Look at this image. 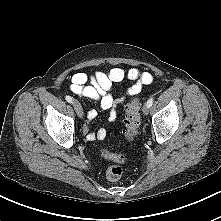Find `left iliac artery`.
Instances as JSON below:
<instances>
[{"label": "left iliac artery", "mask_w": 221, "mask_h": 221, "mask_svg": "<svg viewBox=\"0 0 221 221\" xmlns=\"http://www.w3.org/2000/svg\"><path fill=\"white\" fill-rule=\"evenodd\" d=\"M153 100H154V98L151 97V98L147 101V105H148V107H151V106H152V104H153Z\"/></svg>", "instance_id": "obj_1"}]
</instances>
